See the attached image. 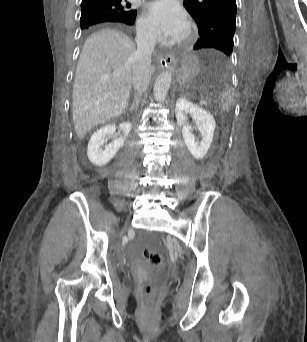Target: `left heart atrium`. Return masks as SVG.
Instances as JSON below:
<instances>
[{"mask_svg":"<svg viewBox=\"0 0 307 342\" xmlns=\"http://www.w3.org/2000/svg\"><path fill=\"white\" fill-rule=\"evenodd\" d=\"M152 29V41L177 43L189 34V22L179 7L170 1L152 3L145 14Z\"/></svg>","mask_w":307,"mask_h":342,"instance_id":"1","label":"left heart atrium"}]
</instances>
